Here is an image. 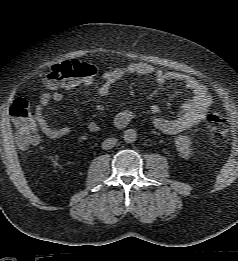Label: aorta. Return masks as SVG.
I'll return each instance as SVG.
<instances>
[{
    "instance_id": "762f6f07",
    "label": "aorta",
    "mask_w": 238,
    "mask_h": 261,
    "mask_svg": "<svg viewBox=\"0 0 238 261\" xmlns=\"http://www.w3.org/2000/svg\"><path fill=\"white\" fill-rule=\"evenodd\" d=\"M123 138L126 143H133L137 139L136 131L133 129L125 130Z\"/></svg>"
}]
</instances>
